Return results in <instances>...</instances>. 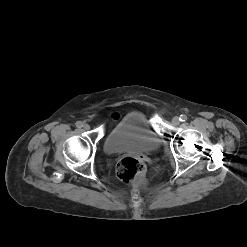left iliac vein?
<instances>
[{
	"label": "left iliac vein",
	"mask_w": 247,
	"mask_h": 247,
	"mask_svg": "<svg viewBox=\"0 0 247 247\" xmlns=\"http://www.w3.org/2000/svg\"><path fill=\"white\" fill-rule=\"evenodd\" d=\"M172 123H173V125H179L180 124V119H179V117H173V119H172Z\"/></svg>",
	"instance_id": "4c4485c4"
}]
</instances>
